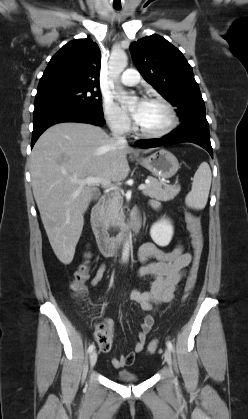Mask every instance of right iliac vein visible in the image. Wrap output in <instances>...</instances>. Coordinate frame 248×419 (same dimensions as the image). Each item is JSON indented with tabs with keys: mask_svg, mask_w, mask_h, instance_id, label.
Returning a JSON list of instances; mask_svg holds the SVG:
<instances>
[{
	"mask_svg": "<svg viewBox=\"0 0 248 419\" xmlns=\"http://www.w3.org/2000/svg\"><path fill=\"white\" fill-rule=\"evenodd\" d=\"M89 361H90L91 368L94 367V365L96 364V361H97V352L95 350H93L90 353Z\"/></svg>",
	"mask_w": 248,
	"mask_h": 419,
	"instance_id": "1",
	"label": "right iliac vein"
}]
</instances>
